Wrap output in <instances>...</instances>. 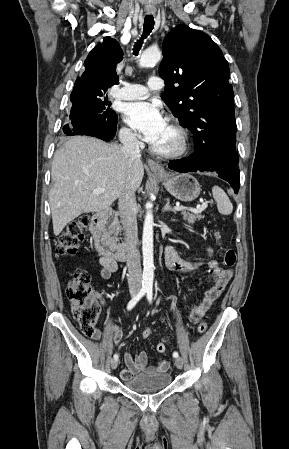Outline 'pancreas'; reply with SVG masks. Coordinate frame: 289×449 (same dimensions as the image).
I'll return each instance as SVG.
<instances>
[{
	"label": "pancreas",
	"mask_w": 289,
	"mask_h": 449,
	"mask_svg": "<svg viewBox=\"0 0 289 449\" xmlns=\"http://www.w3.org/2000/svg\"><path fill=\"white\" fill-rule=\"evenodd\" d=\"M183 219L187 221L189 224H194L195 221L201 220L204 216H202L200 213H189L186 211L182 212ZM109 234H114V239L118 240L117 235L120 231V225L117 217H114L111 222L108 224L107 227Z\"/></svg>",
	"instance_id": "cf45deb5"
}]
</instances>
